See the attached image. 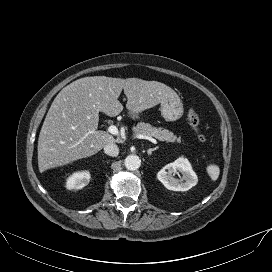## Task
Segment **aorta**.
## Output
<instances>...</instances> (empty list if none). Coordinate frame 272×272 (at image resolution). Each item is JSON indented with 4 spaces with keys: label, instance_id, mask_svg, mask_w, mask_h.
<instances>
[{
    "label": "aorta",
    "instance_id": "obj_1",
    "mask_svg": "<svg viewBox=\"0 0 272 272\" xmlns=\"http://www.w3.org/2000/svg\"><path fill=\"white\" fill-rule=\"evenodd\" d=\"M124 164L127 170L134 171L140 167L141 159L137 155H128L124 160Z\"/></svg>",
    "mask_w": 272,
    "mask_h": 272
}]
</instances>
